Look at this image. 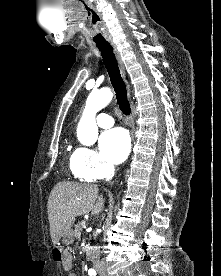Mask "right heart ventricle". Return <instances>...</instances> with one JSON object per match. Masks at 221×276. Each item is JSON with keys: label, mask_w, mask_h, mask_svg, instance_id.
<instances>
[{"label": "right heart ventricle", "mask_w": 221, "mask_h": 276, "mask_svg": "<svg viewBox=\"0 0 221 276\" xmlns=\"http://www.w3.org/2000/svg\"><path fill=\"white\" fill-rule=\"evenodd\" d=\"M75 152H73L70 156L69 168H70V171H71L73 176L82 179L79 172H78V170H77L76 164H75Z\"/></svg>", "instance_id": "obj_1"}]
</instances>
